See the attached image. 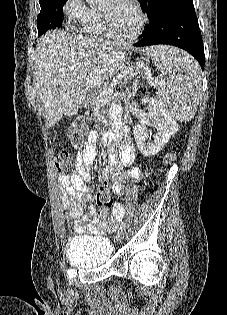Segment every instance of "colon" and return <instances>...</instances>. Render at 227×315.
Here are the masks:
<instances>
[{
  "label": "colon",
  "mask_w": 227,
  "mask_h": 315,
  "mask_svg": "<svg viewBox=\"0 0 227 315\" xmlns=\"http://www.w3.org/2000/svg\"><path fill=\"white\" fill-rule=\"evenodd\" d=\"M68 140L73 148H80L86 144L88 130L82 123H75L67 133ZM176 158V152L168 153L164 158L165 164H170ZM72 156L69 153H61L56 156L54 166L60 173H66L72 166ZM97 205L101 210V214H105L113 205V198L107 188H99L96 195Z\"/></svg>",
  "instance_id": "5ec220e1"
}]
</instances>
